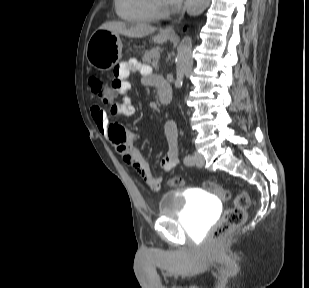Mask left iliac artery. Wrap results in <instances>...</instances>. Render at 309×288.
Returning a JSON list of instances; mask_svg holds the SVG:
<instances>
[{
    "mask_svg": "<svg viewBox=\"0 0 309 288\" xmlns=\"http://www.w3.org/2000/svg\"><path fill=\"white\" fill-rule=\"evenodd\" d=\"M184 163H185V165H188V166L193 165L194 157L192 155H190V154L186 155L184 157Z\"/></svg>",
    "mask_w": 309,
    "mask_h": 288,
    "instance_id": "1",
    "label": "left iliac artery"
}]
</instances>
